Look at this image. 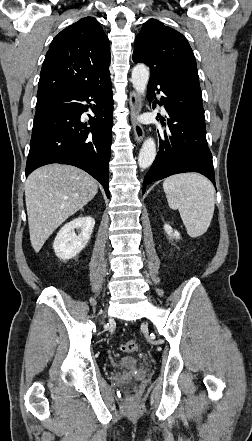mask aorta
<instances>
[{"instance_id":"aorta-1","label":"aorta","mask_w":252,"mask_h":441,"mask_svg":"<svg viewBox=\"0 0 252 441\" xmlns=\"http://www.w3.org/2000/svg\"><path fill=\"white\" fill-rule=\"evenodd\" d=\"M149 80V70L144 64L136 65L132 70L131 81L139 95H143ZM156 157V145L153 138H147L138 156V165L142 169L150 167Z\"/></svg>"}]
</instances>
